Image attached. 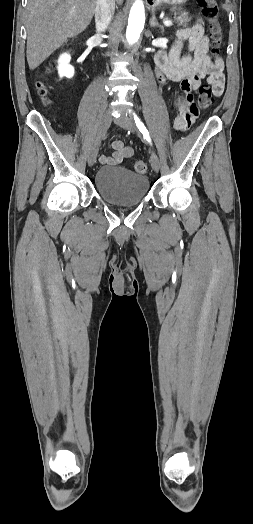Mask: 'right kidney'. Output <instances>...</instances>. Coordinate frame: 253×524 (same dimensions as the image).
Masks as SVG:
<instances>
[{"instance_id": "right-kidney-1", "label": "right kidney", "mask_w": 253, "mask_h": 524, "mask_svg": "<svg viewBox=\"0 0 253 524\" xmlns=\"http://www.w3.org/2000/svg\"><path fill=\"white\" fill-rule=\"evenodd\" d=\"M71 57L64 53L58 60V73L60 77L72 78L74 76V68L69 64Z\"/></svg>"}]
</instances>
